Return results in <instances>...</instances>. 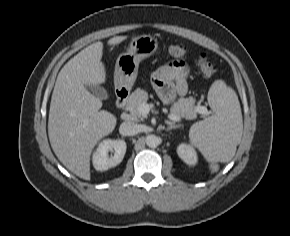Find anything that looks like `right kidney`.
Returning <instances> with one entry per match:
<instances>
[{
    "mask_svg": "<svg viewBox=\"0 0 290 236\" xmlns=\"http://www.w3.org/2000/svg\"><path fill=\"white\" fill-rule=\"evenodd\" d=\"M126 148L124 140L104 139L93 153L92 162L94 168L97 171H106L109 168L117 166L123 160ZM109 151H114V155L109 156Z\"/></svg>",
    "mask_w": 290,
    "mask_h": 236,
    "instance_id": "1",
    "label": "right kidney"
}]
</instances>
